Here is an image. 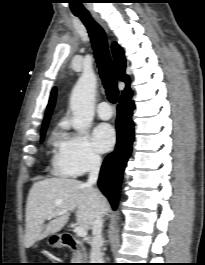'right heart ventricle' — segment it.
<instances>
[{"label": "right heart ventricle", "instance_id": "right-heart-ventricle-1", "mask_svg": "<svg viewBox=\"0 0 205 265\" xmlns=\"http://www.w3.org/2000/svg\"><path fill=\"white\" fill-rule=\"evenodd\" d=\"M57 142H58V139H57L56 136H54V137L52 138V140H51V143H52V144H55V143H57Z\"/></svg>", "mask_w": 205, "mask_h": 265}]
</instances>
